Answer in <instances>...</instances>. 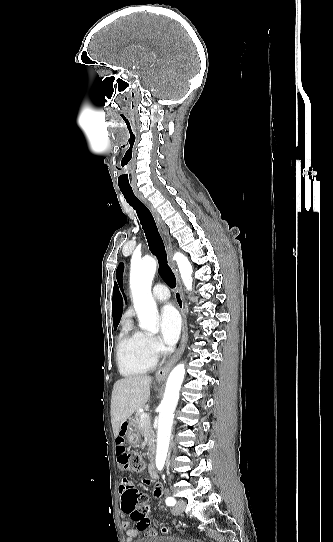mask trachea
<instances>
[{
    "label": "trachea",
    "mask_w": 333,
    "mask_h": 542,
    "mask_svg": "<svg viewBox=\"0 0 333 542\" xmlns=\"http://www.w3.org/2000/svg\"><path fill=\"white\" fill-rule=\"evenodd\" d=\"M121 192L124 195L127 203H129V205L137 212L140 223L146 235L149 248L159 261V273L161 277L169 287L174 288L176 286V278L171 268L168 266L164 244L158 232L152 213L134 195L132 189L121 190Z\"/></svg>",
    "instance_id": "1"
}]
</instances>
